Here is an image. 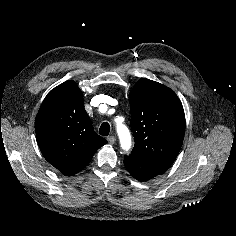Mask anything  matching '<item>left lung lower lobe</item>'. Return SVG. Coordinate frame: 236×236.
Masks as SVG:
<instances>
[{
	"label": "left lung lower lobe",
	"instance_id": "obj_1",
	"mask_svg": "<svg viewBox=\"0 0 236 236\" xmlns=\"http://www.w3.org/2000/svg\"><path fill=\"white\" fill-rule=\"evenodd\" d=\"M124 165L129 173L139 181L150 180L151 178L162 174L171 166L133 154L124 157Z\"/></svg>",
	"mask_w": 236,
	"mask_h": 236
}]
</instances>
